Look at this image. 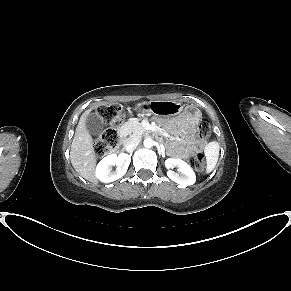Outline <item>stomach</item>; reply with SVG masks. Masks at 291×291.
<instances>
[{
	"mask_svg": "<svg viewBox=\"0 0 291 291\" xmlns=\"http://www.w3.org/2000/svg\"><path fill=\"white\" fill-rule=\"evenodd\" d=\"M182 107H184V105L180 102L155 100L149 101L148 103L137 104L134 109L141 112H145L148 110L155 116L159 117L174 116L177 118L176 113L178 109Z\"/></svg>",
	"mask_w": 291,
	"mask_h": 291,
	"instance_id": "1",
	"label": "stomach"
}]
</instances>
